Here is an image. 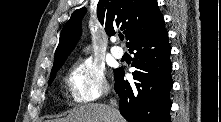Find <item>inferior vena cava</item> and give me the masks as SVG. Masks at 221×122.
I'll list each match as a JSON object with an SVG mask.
<instances>
[{
  "instance_id": "1",
  "label": "inferior vena cava",
  "mask_w": 221,
  "mask_h": 122,
  "mask_svg": "<svg viewBox=\"0 0 221 122\" xmlns=\"http://www.w3.org/2000/svg\"><path fill=\"white\" fill-rule=\"evenodd\" d=\"M110 104H111L112 113L115 116L118 113L117 109L115 108V106H117V103L115 100H111Z\"/></svg>"
}]
</instances>
